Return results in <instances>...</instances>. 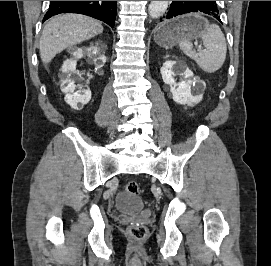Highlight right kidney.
Listing matches in <instances>:
<instances>
[{"label":"right kidney","instance_id":"ca27d5eb","mask_svg":"<svg viewBox=\"0 0 271 266\" xmlns=\"http://www.w3.org/2000/svg\"><path fill=\"white\" fill-rule=\"evenodd\" d=\"M85 54L93 59L97 69L101 68L106 61L105 56L99 52L97 46H90L84 49L76 48L72 52V58L64 61L61 69L62 73H64L61 79V90L65 93V102L77 110H81L91 100L90 89L81 90L82 86L75 84L83 74L76 70L77 60ZM76 88H79V90L75 92Z\"/></svg>","mask_w":271,"mask_h":266}]
</instances>
